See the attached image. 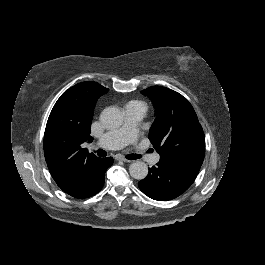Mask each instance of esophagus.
Here are the masks:
<instances>
[{
    "label": "esophagus",
    "mask_w": 265,
    "mask_h": 265,
    "mask_svg": "<svg viewBox=\"0 0 265 265\" xmlns=\"http://www.w3.org/2000/svg\"><path fill=\"white\" fill-rule=\"evenodd\" d=\"M116 159H117V160H121V161H123V162H131V160L126 159V158H125L124 156H122V155L117 156Z\"/></svg>",
    "instance_id": "esophagus-1"
}]
</instances>
